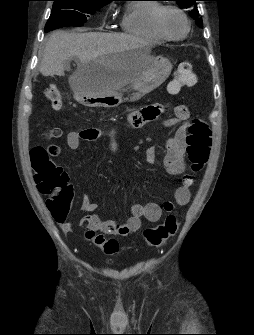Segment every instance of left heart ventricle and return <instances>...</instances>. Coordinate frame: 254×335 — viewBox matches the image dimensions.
Wrapping results in <instances>:
<instances>
[{"mask_svg":"<svg viewBox=\"0 0 254 335\" xmlns=\"http://www.w3.org/2000/svg\"><path fill=\"white\" fill-rule=\"evenodd\" d=\"M163 30L172 37H177L185 32L186 24L184 19L174 11H165L161 17Z\"/></svg>","mask_w":254,"mask_h":335,"instance_id":"obj_1","label":"left heart ventricle"}]
</instances>
